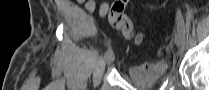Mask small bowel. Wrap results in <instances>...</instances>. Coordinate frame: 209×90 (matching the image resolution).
Returning a JSON list of instances; mask_svg holds the SVG:
<instances>
[{
  "mask_svg": "<svg viewBox=\"0 0 209 90\" xmlns=\"http://www.w3.org/2000/svg\"><path fill=\"white\" fill-rule=\"evenodd\" d=\"M85 8H86V11H87V12H89V13L93 12V11L95 10V8H96V3H95V1H94V0H89V1H87L86 4H85ZM108 10H109V3L104 2V3L100 6V8H99V10H98L99 16H100V17L106 16L107 13H108Z\"/></svg>",
  "mask_w": 209,
  "mask_h": 90,
  "instance_id": "c3829d8e",
  "label": "small bowel"
}]
</instances>
